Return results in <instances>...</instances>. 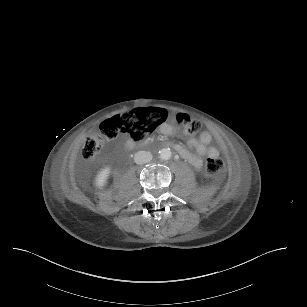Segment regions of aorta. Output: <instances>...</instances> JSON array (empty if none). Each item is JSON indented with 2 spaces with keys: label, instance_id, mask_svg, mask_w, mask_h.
<instances>
[{
  "label": "aorta",
  "instance_id": "1",
  "mask_svg": "<svg viewBox=\"0 0 307 307\" xmlns=\"http://www.w3.org/2000/svg\"><path fill=\"white\" fill-rule=\"evenodd\" d=\"M159 156L161 159L163 160H169L172 156V152L169 148H162L160 151H159Z\"/></svg>",
  "mask_w": 307,
  "mask_h": 307
}]
</instances>
